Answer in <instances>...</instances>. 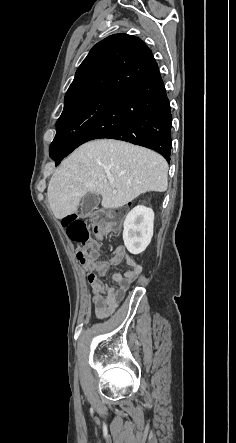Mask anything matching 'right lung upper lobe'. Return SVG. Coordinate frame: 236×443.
Here are the masks:
<instances>
[{
  "label": "right lung upper lobe",
  "instance_id": "1",
  "mask_svg": "<svg viewBox=\"0 0 236 443\" xmlns=\"http://www.w3.org/2000/svg\"><path fill=\"white\" fill-rule=\"evenodd\" d=\"M156 63L139 38L114 34L97 43L77 69L64 109L97 94H116L136 82Z\"/></svg>",
  "mask_w": 236,
  "mask_h": 443
}]
</instances>
